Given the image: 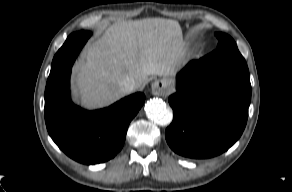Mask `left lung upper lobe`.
Here are the masks:
<instances>
[{"label": "left lung upper lobe", "instance_id": "5c2ea615", "mask_svg": "<svg viewBox=\"0 0 292 192\" xmlns=\"http://www.w3.org/2000/svg\"><path fill=\"white\" fill-rule=\"evenodd\" d=\"M216 37L219 40L218 49H230L238 50L235 41L227 34L224 33H215Z\"/></svg>", "mask_w": 292, "mask_h": 192}]
</instances>
